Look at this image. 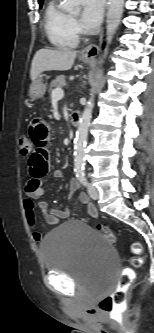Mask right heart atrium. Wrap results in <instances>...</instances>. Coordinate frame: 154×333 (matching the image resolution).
I'll return each mask as SVG.
<instances>
[{
    "mask_svg": "<svg viewBox=\"0 0 154 333\" xmlns=\"http://www.w3.org/2000/svg\"><path fill=\"white\" fill-rule=\"evenodd\" d=\"M73 25H74V28H75L76 31L80 30V26L76 21H73Z\"/></svg>",
    "mask_w": 154,
    "mask_h": 333,
    "instance_id": "right-heart-atrium-1",
    "label": "right heart atrium"
}]
</instances>
